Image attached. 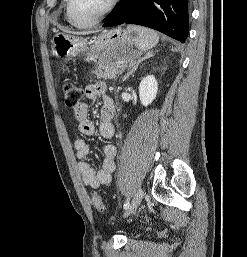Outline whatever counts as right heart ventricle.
Listing matches in <instances>:
<instances>
[{
  "label": "right heart ventricle",
  "instance_id": "obj_1",
  "mask_svg": "<svg viewBox=\"0 0 247 257\" xmlns=\"http://www.w3.org/2000/svg\"><path fill=\"white\" fill-rule=\"evenodd\" d=\"M64 2H65V0H64ZM65 18L69 21V18H68V16H67V13L65 14Z\"/></svg>",
  "mask_w": 247,
  "mask_h": 257
}]
</instances>
